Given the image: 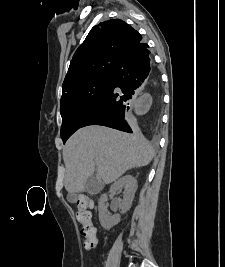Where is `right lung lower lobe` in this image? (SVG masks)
Masks as SVG:
<instances>
[{"label": "right lung lower lobe", "instance_id": "obj_1", "mask_svg": "<svg viewBox=\"0 0 225 267\" xmlns=\"http://www.w3.org/2000/svg\"><path fill=\"white\" fill-rule=\"evenodd\" d=\"M146 85L158 90L159 77L153 66L148 45L141 42L121 56L101 101L82 122L80 128L104 125L131 133L132 130L125 121V113L128 112L137 89Z\"/></svg>", "mask_w": 225, "mask_h": 267}]
</instances>
